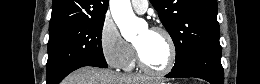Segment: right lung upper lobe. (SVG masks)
<instances>
[{"instance_id": "right-lung-upper-lobe-1", "label": "right lung upper lobe", "mask_w": 260, "mask_h": 84, "mask_svg": "<svg viewBox=\"0 0 260 84\" xmlns=\"http://www.w3.org/2000/svg\"><path fill=\"white\" fill-rule=\"evenodd\" d=\"M109 0H53L49 31L105 16Z\"/></svg>"}]
</instances>
